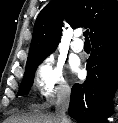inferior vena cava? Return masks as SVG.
I'll list each match as a JSON object with an SVG mask.
<instances>
[{
	"mask_svg": "<svg viewBox=\"0 0 118 123\" xmlns=\"http://www.w3.org/2000/svg\"><path fill=\"white\" fill-rule=\"evenodd\" d=\"M71 89L69 86H61L58 92L56 104V116L60 119V123H70L66 117V111L70 102Z\"/></svg>",
	"mask_w": 118,
	"mask_h": 123,
	"instance_id": "602c4592",
	"label": "inferior vena cava"
}]
</instances>
